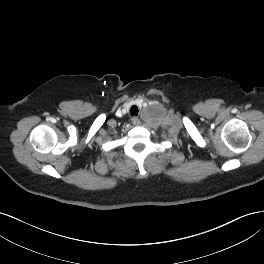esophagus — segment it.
<instances>
[{"label": "esophagus", "mask_w": 264, "mask_h": 264, "mask_svg": "<svg viewBox=\"0 0 264 264\" xmlns=\"http://www.w3.org/2000/svg\"><path fill=\"white\" fill-rule=\"evenodd\" d=\"M132 123H133V125L138 126V125H140L141 122H140V119L138 117H133Z\"/></svg>", "instance_id": "34e87169"}]
</instances>
